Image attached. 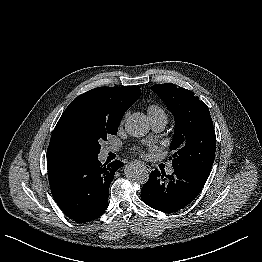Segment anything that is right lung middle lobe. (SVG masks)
<instances>
[{"label":"right lung middle lobe","instance_id":"right-lung-middle-lobe-1","mask_svg":"<svg viewBox=\"0 0 262 262\" xmlns=\"http://www.w3.org/2000/svg\"><path fill=\"white\" fill-rule=\"evenodd\" d=\"M113 124L86 111L70 113L53 131L47 150L48 157H90L100 153V143L115 135Z\"/></svg>","mask_w":262,"mask_h":262}]
</instances>
